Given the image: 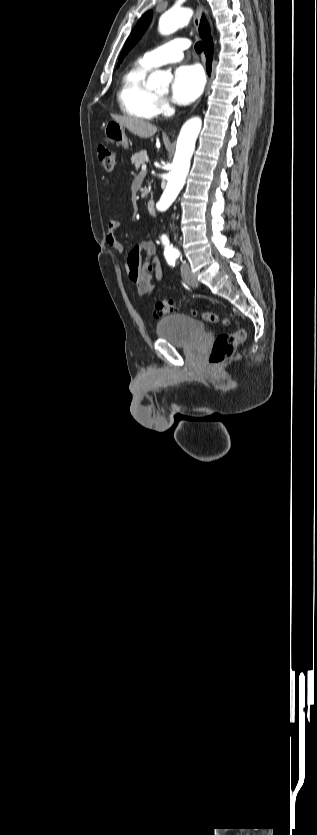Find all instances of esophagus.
Returning <instances> with one entry per match:
<instances>
[{
  "mask_svg": "<svg viewBox=\"0 0 317 835\" xmlns=\"http://www.w3.org/2000/svg\"><path fill=\"white\" fill-rule=\"evenodd\" d=\"M202 10H203V6H202L201 3L198 2L197 7H196V11H195V14H194V17H193V24L196 28L199 27ZM196 105L193 107V109L196 107Z\"/></svg>",
  "mask_w": 317,
  "mask_h": 835,
  "instance_id": "34e87169",
  "label": "esophagus"
}]
</instances>
